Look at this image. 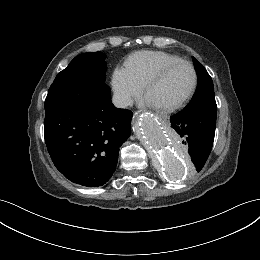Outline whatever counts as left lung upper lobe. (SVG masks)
Listing matches in <instances>:
<instances>
[{"instance_id":"1","label":"left lung upper lobe","mask_w":260,"mask_h":260,"mask_svg":"<svg viewBox=\"0 0 260 260\" xmlns=\"http://www.w3.org/2000/svg\"><path fill=\"white\" fill-rule=\"evenodd\" d=\"M195 66L198 72V86L192 101L187 105L186 109H191L200 105L209 104L215 105V94L213 82L205 70L203 65L195 59Z\"/></svg>"}]
</instances>
